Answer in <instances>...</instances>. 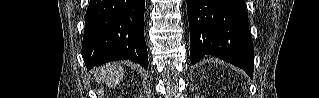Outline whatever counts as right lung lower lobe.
<instances>
[{"label":"right lung lower lobe","instance_id":"right-lung-lower-lobe-1","mask_svg":"<svg viewBox=\"0 0 319 98\" xmlns=\"http://www.w3.org/2000/svg\"><path fill=\"white\" fill-rule=\"evenodd\" d=\"M144 10L145 0H90L82 45L87 69L124 59L148 67Z\"/></svg>","mask_w":319,"mask_h":98}]
</instances>
